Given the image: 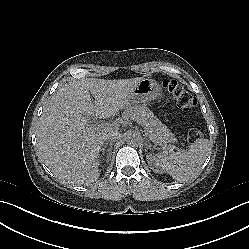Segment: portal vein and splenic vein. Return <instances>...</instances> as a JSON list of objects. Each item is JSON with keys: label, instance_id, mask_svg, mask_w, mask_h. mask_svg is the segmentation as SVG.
<instances>
[{"label": "portal vein and splenic vein", "instance_id": "1", "mask_svg": "<svg viewBox=\"0 0 249 249\" xmlns=\"http://www.w3.org/2000/svg\"><path fill=\"white\" fill-rule=\"evenodd\" d=\"M96 128H97V129H99V128H103V125H102V124L97 125V126H96Z\"/></svg>", "mask_w": 249, "mask_h": 249}]
</instances>
